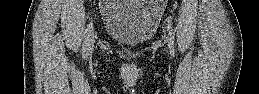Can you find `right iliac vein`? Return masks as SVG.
Instances as JSON below:
<instances>
[{
    "instance_id": "1",
    "label": "right iliac vein",
    "mask_w": 259,
    "mask_h": 94,
    "mask_svg": "<svg viewBox=\"0 0 259 94\" xmlns=\"http://www.w3.org/2000/svg\"><path fill=\"white\" fill-rule=\"evenodd\" d=\"M93 43H94V37L91 39L90 48H89L90 53L92 52V49H93Z\"/></svg>"
}]
</instances>
